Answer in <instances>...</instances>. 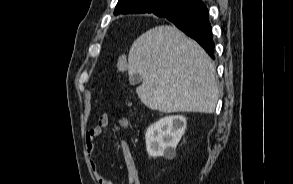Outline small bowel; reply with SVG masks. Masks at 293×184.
Wrapping results in <instances>:
<instances>
[{
    "label": "small bowel",
    "instance_id": "c3829d8e",
    "mask_svg": "<svg viewBox=\"0 0 293 184\" xmlns=\"http://www.w3.org/2000/svg\"><path fill=\"white\" fill-rule=\"evenodd\" d=\"M110 119L108 114L102 113L97 124L86 132V151L89 157L90 166L93 171L95 180L98 184H113L108 178L101 173L99 161L94 158L95 140L109 125ZM122 155L125 161L128 174V184H141L136 162L127 146L122 147Z\"/></svg>",
    "mask_w": 293,
    "mask_h": 184
}]
</instances>
